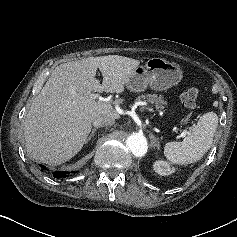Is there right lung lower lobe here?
Instances as JSON below:
<instances>
[{
  "label": "right lung lower lobe",
  "mask_w": 237,
  "mask_h": 237,
  "mask_svg": "<svg viewBox=\"0 0 237 237\" xmlns=\"http://www.w3.org/2000/svg\"><path fill=\"white\" fill-rule=\"evenodd\" d=\"M42 169H46L45 166L41 165ZM69 172H64V171H56L53 173V176L55 178H62V177H67Z\"/></svg>",
  "instance_id": "right-lung-lower-lobe-1"
}]
</instances>
